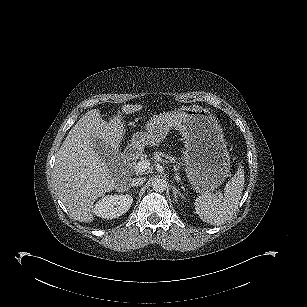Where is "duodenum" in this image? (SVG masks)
I'll return each mask as SVG.
<instances>
[{"instance_id": "obj_1", "label": "duodenum", "mask_w": 307, "mask_h": 307, "mask_svg": "<svg viewBox=\"0 0 307 307\" xmlns=\"http://www.w3.org/2000/svg\"><path fill=\"white\" fill-rule=\"evenodd\" d=\"M133 156V151H130V153L128 154V158H132Z\"/></svg>"}]
</instances>
